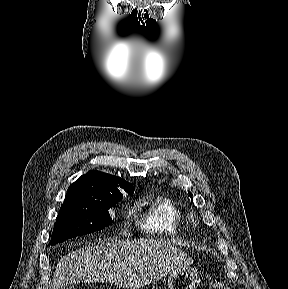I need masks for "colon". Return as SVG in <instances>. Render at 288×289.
Listing matches in <instances>:
<instances>
[{
	"instance_id": "colon-1",
	"label": "colon",
	"mask_w": 288,
	"mask_h": 289,
	"mask_svg": "<svg viewBox=\"0 0 288 289\" xmlns=\"http://www.w3.org/2000/svg\"><path fill=\"white\" fill-rule=\"evenodd\" d=\"M209 289H230V287L221 279H213L209 283Z\"/></svg>"
}]
</instances>
